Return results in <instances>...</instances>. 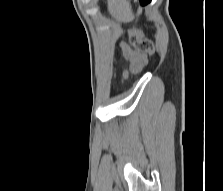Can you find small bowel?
<instances>
[{
	"instance_id": "obj_1",
	"label": "small bowel",
	"mask_w": 223,
	"mask_h": 191,
	"mask_svg": "<svg viewBox=\"0 0 223 191\" xmlns=\"http://www.w3.org/2000/svg\"><path fill=\"white\" fill-rule=\"evenodd\" d=\"M124 58L130 63V69L132 72H139L146 63V57L131 48L125 43L121 44Z\"/></svg>"
}]
</instances>
